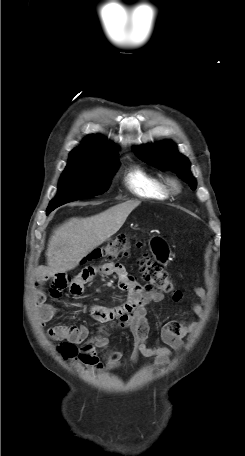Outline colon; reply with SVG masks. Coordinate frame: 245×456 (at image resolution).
Returning a JSON list of instances; mask_svg holds the SVG:
<instances>
[{
  "instance_id": "1",
  "label": "colon",
  "mask_w": 245,
  "mask_h": 456,
  "mask_svg": "<svg viewBox=\"0 0 245 456\" xmlns=\"http://www.w3.org/2000/svg\"><path fill=\"white\" fill-rule=\"evenodd\" d=\"M137 248L142 247V243L136 242ZM131 238L128 235H119L110 240L104 247L93 250L87 257L88 260H98L107 258L110 260L122 259L130 256ZM137 266L143 280L147 284L148 290L158 291L168 294L176 302L181 301L182 293L177 290L164 272L162 265L158 263L150 254L143 253L137 260ZM60 352L67 358L74 359L77 356V349L71 343H64L59 347Z\"/></svg>"
}]
</instances>
